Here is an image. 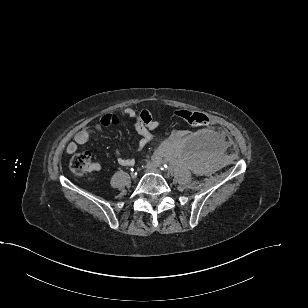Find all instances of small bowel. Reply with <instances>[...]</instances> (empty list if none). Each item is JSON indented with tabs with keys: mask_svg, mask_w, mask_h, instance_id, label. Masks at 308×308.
I'll list each match as a JSON object with an SVG mask.
<instances>
[{
	"mask_svg": "<svg viewBox=\"0 0 308 308\" xmlns=\"http://www.w3.org/2000/svg\"><path fill=\"white\" fill-rule=\"evenodd\" d=\"M121 118L129 119L134 123L135 129L140 135L137 143L138 151H142L150 143L152 131L158 129L160 126L159 122L154 120L150 110L136 111L132 108H125L120 112V117L114 114H105L97 124L85 127L77 132L73 141L68 144L67 152L69 154L74 153L78 146L86 144L92 136L100 133L104 127L120 124ZM116 156L118 163L122 166H133L135 163L133 159L122 157L119 151H116Z\"/></svg>",
	"mask_w": 308,
	"mask_h": 308,
	"instance_id": "obj_1",
	"label": "small bowel"
}]
</instances>
